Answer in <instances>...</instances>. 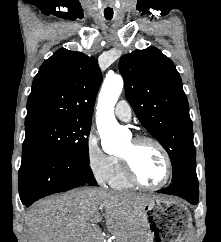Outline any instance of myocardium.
<instances>
[{"instance_id": "obj_1", "label": "myocardium", "mask_w": 221, "mask_h": 242, "mask_svg": "<svg viewBox=\"0 0 221 242\" xmlns=\"http://www.w3.org/2000/svg\"><path fill=\"white\" fill-rule=\"evenodd\" d=\"M132 140L135 144L151 143L155 145L162 153L165 159L166 170H165V176L161 182L154 185L147 184L144 181H142L140 177L137 175V173L135 172L131 157L128 155L120 154L119 157L121 159V162L127 177L132 183L144 189L156 190V189L162 188L164 185L168 183L172 175V160L167 149L159 140L151 136L138 135V136H135Z\"/></svg>"}]
</instances>
